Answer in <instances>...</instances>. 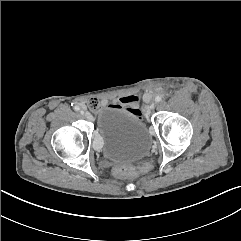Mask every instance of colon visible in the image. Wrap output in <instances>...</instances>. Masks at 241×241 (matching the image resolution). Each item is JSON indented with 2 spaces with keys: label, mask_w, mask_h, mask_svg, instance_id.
Here are the masks:
<instances>
[{
  "label": "colon",
  "mask_w": 241,
  "mask_h": 241,
  "mask_svg": "<svg viewBox=\"0 0 241 241\" xmlns=\"http://www.w3.org/2000/svg\"><path fill=\"white\" fill-rule=\"evenodd\" d=\"M87 107L92 112H96L99 108V102L97 100H90ZM115 173L121 177H134L137 175V169L132 165H123L115 169Z\"/></svg>",
  "instance_id": "1"
}]
</instances>
